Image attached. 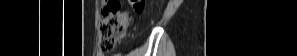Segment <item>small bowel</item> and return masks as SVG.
<instances>
[{"label":"small bowel","mask_w":297,"mask_h":56,"mask_svg":"<svg viewBox=\"0 0 297 56\" xmlns=\"http://www.w3.org/2000/svg\"><path fill=\"white\" fill-rule=\"evenodd\" d=\"M98 56H103V54H98Z\"/></svg>","instance_id":"small-bowel-1"}]
</instances>
